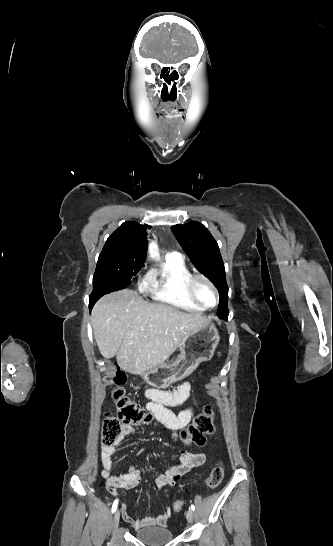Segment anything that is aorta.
I'll return each mask as SVG.
<instances>
[{"instance_id":"762f6f07","label":"aorta","mask_w":333,"mask_h":546,"mask_svg":"<svg viewBox=\"0 0 333 546\" xmlns=\"http://www.w3.org/2000/svg\"><path fill=\"white\" fill-rule=\"evenodd\" d=\"M156 250H157L156 244H155V243H151V244L149 245L148 252H149V254H150L152 257H153V256H156V254H157Z\"/></svg>"}]
</instances>
